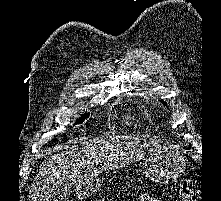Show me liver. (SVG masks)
Masks as SVG:
<instances>
[{
    "instance_id": "6515ba94",
    "label": "liver",
    "mask_w": 221,
    "mask_h": 201,
    "mask_svg": "<svg viewBox=\"0 0 221 201\" xmlns=\"http://www.w3.org/2000/svg\"><path fill=\"white\" fill-rule=\"evenodd\" d=\"M64 148L61 153L50 155L40 166L31 186L29 201H49L59 185L80 187L89 184L102 171L125 167L166 149L128 135H113L84 142L79 139ZM99 163L101 168L97 169Z\"/></svg>"
}]
</instances>
